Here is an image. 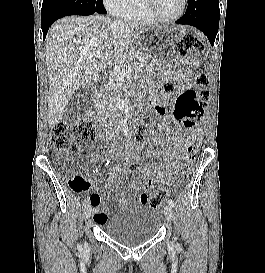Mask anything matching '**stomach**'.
<instances>
[{
  "label": "stomach",
  "mask_w": 265,
  "mask_h": 273,
  "mask_svg": "<svg viewBox=\"0 0 265 273\" xmlns=\"http://www.w3.org/2000/svg\"><path fill=\"white\" fill-rule=\"evenodd\" d=\"M185 25H163L162 29H145L141 31L136 44H127V49H143L137 69L142 73H155V69H166V64H172L169 56H176V51H162V49H175L177 41L186 35Z\"/></svg>",
  "instance_id": "0dacf381"
}]
</instances>
